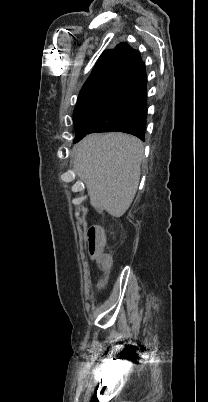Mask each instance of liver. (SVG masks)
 <instances>
[{
	"mask_svg": "<svg viewBox=\"0 0 208 402\" xmlns=\"http://www.w3.org/2000/svg\"><path fill=\"white\" fill-rule=\"evenodd\" d=\"M143 144L128 134H91L76 144L73 168L84 182L90 204L121 218L138 190Z\"/></svg>",
	"mask_w": 208,
	"mask_h": 402,
	"instance_id": "obj_1",
	"label": "liver"
}]
</instances>
